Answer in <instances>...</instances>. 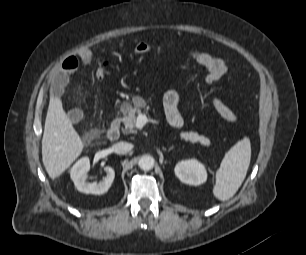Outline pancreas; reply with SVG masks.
<instances>
[{
    "label": "pancreas",
    "instance_id": "obj_1",
    "mask_svg": "<svg viewBox=\"0 0 306 255\" xmlns=\"http://www.w3.org/2000/svg\"><path fill=\"white\" fill-rule=\"evenodd\" d=\"M145 107V103H135V106L132 107L130 104H124L122 106V112L124 114L123 122H124V128L122 129V132L124 134H130V133H136V130L134 129L135 123H136V115L141 114V108ZM207 139L206 141H203L202 138ZM180 138L184 141H189L192 144L195 143H201L202 145L209 146L210 140L203 136L199 135L197 132H181Z\"/></svg>",
    "mask_w": 306,
    "mask_h": 255
}]
</instances>
